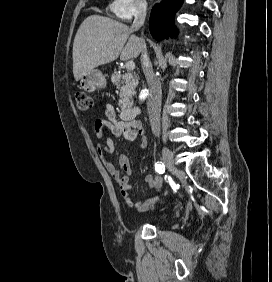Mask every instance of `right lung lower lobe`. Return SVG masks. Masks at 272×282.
<instances>
[{
    "instance_id": "right-lung-lower-lobe-1",
    "label": "right lung lower lobe",
    "mask_w": 272,
    "mask_h": 282,
    "mask_svg": "<svg viewBox=\"0 0 272 282\" xmlns=\"http://www.w3.org/2000/svg\"><path fill=\"white\" fill-rule=\"evenodd\" d=\"M183 0H163L155 4L150 15V32L160 41L176 33L174 15L181 7Z\"/></svg>"
}]
</instances>
